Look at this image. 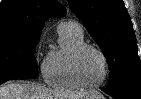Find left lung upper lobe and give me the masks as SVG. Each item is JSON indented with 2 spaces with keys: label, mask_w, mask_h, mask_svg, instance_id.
Masks as SVG:
<instances>
[{
  "label": "left lung upper lobe",
  "mask_w": 141,
  "mask_h": 99,
  "mask_svg": "<svg viewBox=\"0 0 141 99\" xmlns=\"http://www.w3.org/2000/svg\"><path fill=\"white\" fill-rule=\"evenodd\" d=\"M103 51L110 78L107 88L141 87V62L132 22L122 0H68Z\"/></svg>",
  "instance_id": "left-lung-upper-lobe-1"
}]
</instances>
